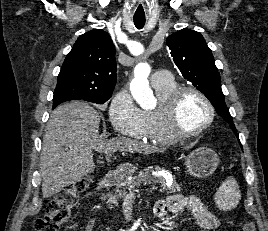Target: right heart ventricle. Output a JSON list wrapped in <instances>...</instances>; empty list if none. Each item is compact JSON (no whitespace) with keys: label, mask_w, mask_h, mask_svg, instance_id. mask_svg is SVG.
Segmentation results:
<instances>
[{"label":"right heart ventricle","mask_w":268,"mask_h":231,"mask_svg":"<svg viewBox=\"0 0 268 231\" xmlns=\"http://www.w3.org/2000/svg\"><path fill=\"white\" fill-rule=\"evenodd\" d=\"M158 99L157 106L153 109L142 110L144 122V140L160 145H170L176 142L167 129L164 119V105L168 97L178 88L177 83L170 79L152 85Z\"/></svg>","instance_id":"1"}]
</instances>
